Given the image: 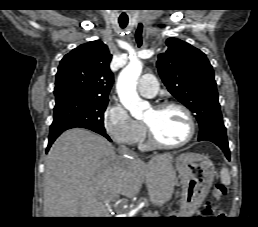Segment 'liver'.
<instances>
[{"mask_svg":"<svg viewBox=\"0 0 258 227\" xmlns=\"http://www.w3.org/2000/svg\"><path fill=\"white\" fill-rule=\"evenodd\" d=\"M173 155L147 163L117 155L113 145L89 130L73 128L52 145L45 163L44 217H108L106 202L132 198L146 184L150 202L170 200L176 182Z\"/></svg>","mask_w":258,"mask_h":227,"instance_id":"1","label":"liver"}]
</instances>
